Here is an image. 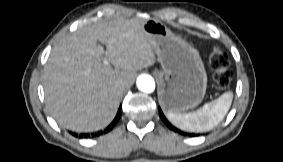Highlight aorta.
<instances>
[{
    "label": "aorta",
    "mask_w": 283,
    "mask_h": 162,
    "mask_svg": "<svg viewBox=\"0 0 283 162\" xmlns=\"http://www.w3.org/2000/svg\"><path fill=\"white\" fill-rule=\"evenodd\" d=\"M137 87L140 91L145 93H152L155 89L154 79L147 74H142L137 78Z\"/></svg>",
    "instance_id": "obj_1"
}]
</instances>
